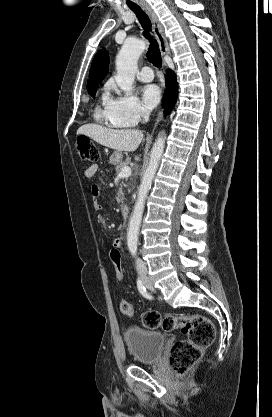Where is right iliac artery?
Segmentation results:
<instances>
[{
  "label": "right iliac artery",
  "instance_id": "82829eb1",
  "mask_svg": "<svg viewBox=\"0 0 272 417\" xmlns=\"http://www.w3.org/2000/svg\"><path fill=\"white\" fill-rule=\"evenodd\" d=\"M137 288L142 296L147 299H152V296L147 292L142 280L140 278L137 279Z\"/></svg>",
  "mask_w": 272,
  "mask_h": 417
}]
</instances>
